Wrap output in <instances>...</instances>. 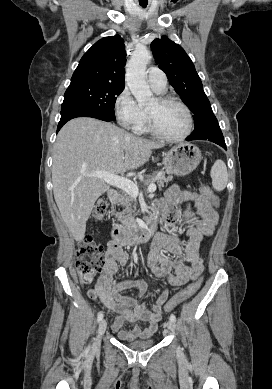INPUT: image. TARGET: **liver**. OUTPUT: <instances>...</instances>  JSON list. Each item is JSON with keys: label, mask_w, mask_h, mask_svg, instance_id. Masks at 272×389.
<instances>
[{"label": "liver", "mask_w": 272, "mask_h": 389, "mask_svg": "<svg viewBox=\"0 0 272 389\" xmlns=\"http://www.w3.org/2000/svg\"><path fill=\"white\" fill-rule=\"evenodd\" d=\"M163 144L142 139L116 125L80 117L66 123L53 149V193L61 217L76 241L85 237L96 200L109 189L96 171L112 174L137 169Z\"/></svg>", "instance_id": "1"}]
</instances>
